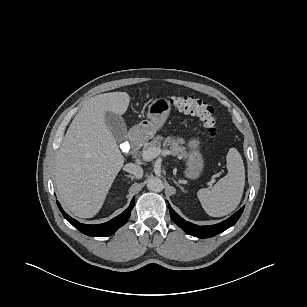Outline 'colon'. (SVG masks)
<instances>
[{
    "instance_id": "5ec220e1",
    "label": "colon",
    "mask_w": 307,
    "mask_h": 307,
    "mask_svg": "<svg viewBox=\"0 0 307 307\" xmlns=\"http://www.w3.org/2000/svg\"><path fill=\"white\" fill-rule=\"evenodd\" d=\"M170 101L178 110L199 118L207 128L210 138H216L217 118L213 107L198 98L190 96H174Z\"/></svg>"
}]
</instances>
